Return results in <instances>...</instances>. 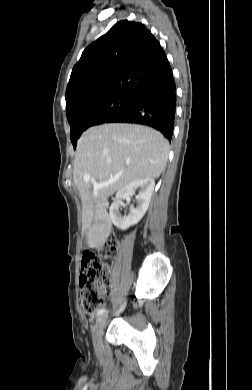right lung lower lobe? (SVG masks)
Wrapping results in <instances>:
<instances>
[{
	"mask_svg": "<svg viewBox=\"0 0 252 390\" xmlns=\"http://www.w3.org/2000/svg\"><path fill=\"white\" fill-rule=\"evenodd\" d=\"M176 112V85L172 73L152 81L134 95L132 104L106 122H125L151 126L170 141Z\"/></svg>",
	"mask_w": 252,
	"mask_h": 390,
	"instance_id": "98d812e1",
	"label": "right lung lower lobe"
}]
</instances>
